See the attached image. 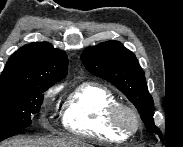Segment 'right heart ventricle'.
<instances>
[{"label": "right heart ventricle", "mask_w": 183, "mask_h": 147, "mask_svg": "<svg viewBox=\"0 0 183 147\" xmlns=\"http://www.w3.org/2000/svg\"><path fill=\"white\" fill-rule=\"evenodd\" d=\"M117 102L116 95L107 86L81 83L66 98L63 126L83 138L124 141L129 135L115 130L108 122V111Z\"/></svg>", "instance_id": "right-heart-ventricle-1"}]
</instances>
